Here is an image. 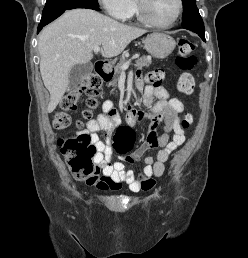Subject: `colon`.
<instances>
[{"mask_svg": "<svg viewBox=\"0 0 248 258\" xmlns=\"http://www.w3.org/2000/svg\"><path fill=\"white\" fill-rule=\"evenodd\" d=\"M194 44L189 39H181L178 43V55L176 65L184 70L177 81L178 90L185 95H191L195 88V79L187 71L194 69L196 57L193 55ZM165 74L160 69L151 70L146 75V81L152 86H159L164 80ZM102 80L96 74L85 76L80 84L72 89L60 102V110L53 117V126L56 129H65L70 124L69 111L73 110L82 95H86L88 109L83 117L90 119L93 110L98 106L97 97L101 92ZM193 122L191 114L187 113L181 121V128L187 129ZM81 124V123H79ZM132 130L129 127H120L115 136L114 143L118 153L127 155L132 146ZM58 145L65 157L72 175L80 180H97V170L93 164L97 153L95 144L90 135L80 133L76 136L63 137L58 140Z\"/></svg>", "mask_w": 248, "mask_h": 258, "instance_id": "1", "label": "colon"}]
</instances>
